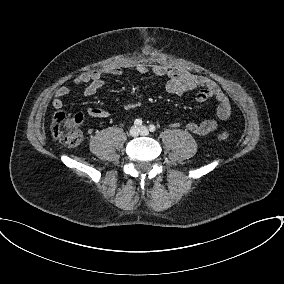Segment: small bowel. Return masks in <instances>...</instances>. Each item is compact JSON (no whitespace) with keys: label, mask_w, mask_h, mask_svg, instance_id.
I'll use <instances>...</instances> for the list:
<instances>
[{"label":"small bowel","mask_w":284,"mask_h":284,"mask_svg":"<svg viewBox=\"0 0 284 284\" xmlns=\"http://www.w3.org/2000/svg\"><path fill=\"white\" fill-rule=\"evenodd\" d=\"M140 74L152 73L158 77H164L166 81V90L174 95H183L187 92L197 90L196 100L205 102L209 99H215L217 102L216 116L219 120H226L231 115V104L228 96L221 87L203 75L192 74L184 69L167 68L162 65L148 66L144 63L137 62L131 66ZM123 73L120 67H113L107 70H92L81 73L76 79V85H86L84 95L86 97L94 96L104 84V77L107 75L119 76ZM72 92V87L62 86L57 89L53 99V107L61 109L64 105V98ZM88 115L92 117L105 118L109 113L98 107H89ZM171 126L177 128L179 122H172ZM185 128L196 135L205 136L218 128L215 120L209 119L201 123L189 122Z\"/></svg>","instance_id":"obj_1"}]
</instances>
